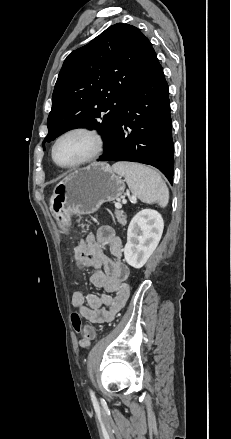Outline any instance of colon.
<instances>
[{
    "mask_svg": "<svg viewBox=\"0 0 231 439\" xmlns=\"http://www.w3.org/2000/svg\"><path fill=\"white\" fill-rule=\"evenodd\" d=\"M83 262H84L83 257L78 256L76 257L75 262L73 264L74 269H76L77 272L79 273H82L85 270L84 265H82ZM71 322L75 331L80 333L84 340L90 342L95 338L96 336L95 328L92 325H83L79 314L72 313Z\"/></svg>",
    "mask_w": 231,
    "mask_h": 439,
    "instance_id": "colon-1",
    "label": "colon"
}]
</instances>
